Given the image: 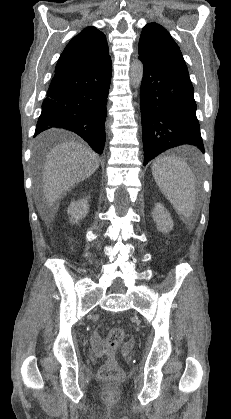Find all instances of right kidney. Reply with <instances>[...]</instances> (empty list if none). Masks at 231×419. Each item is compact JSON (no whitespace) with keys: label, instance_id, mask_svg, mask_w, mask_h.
Instances as JSON below:
<instances>
[{"label":"right kidney","instance_id":"ca27d5eb","mask_svg":"<svg viewBox=\"0 0 231 419\" xmlns=\"http://www.w3.org/2000/svg\"><path fill=\"white\" fill-rule=\"evenodd\" d=\"M88 210V198H81L78 201L71 202L67 210V213L70 216V222L78 224L80 220L86 217Z\"/></svg>","mask_w":231,"mask_h":419}]
</instances>
